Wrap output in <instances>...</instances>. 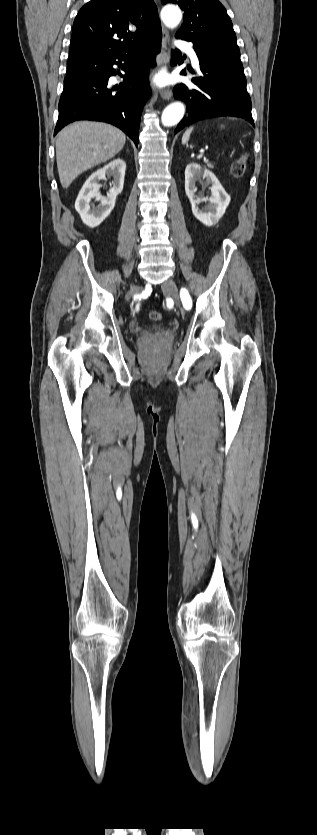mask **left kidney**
I'll return each instance as SVG.
<instances>
[{
	"mask_svg": "<svg viewBox=\"0 0 317 835\" xmlns=\"http://www.w3.org/2000/svg\"><path fill=\"white\" fill-rule=\"evenodd\" d=\"M201 179H205L207 184H211L210 197H204L202 193L198 196L195 195L197 190L195 183ZM185 192L190 201L193 215L206 226H213L219 221L231 200L216 176L210 170L203 169L195 162L186 166ZM202 202L209 203L200 209L199 204Z\"/></svg>",
	"mask_w": 317,
	"mask_h": 835,
	"instance_id": "obj_1",
	"label": "left kidney"
}]
</instances>
